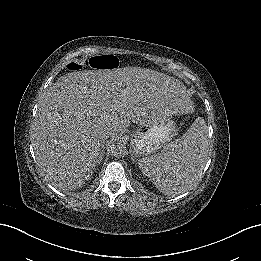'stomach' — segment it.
Masks as SVG:
<instances>
[{
	"label": "stomach",
	"mask_w": 261,
	"mask_h": 261,
	"mask_svg": "<svg viewBox=\"0 0 261 261\" xmlns=\"http://www.w3.org/2000/svg\"><path fill=\"white\" fill-rule=\"evenodd\" d=\"M167 123L168 119L165 113L156 112L145 118L133 133L131 143L133 153L136 156H144L156 152L170 136V124Z\"/></svg>",
	"instance_id": "obj_1"
}]
</instances>
